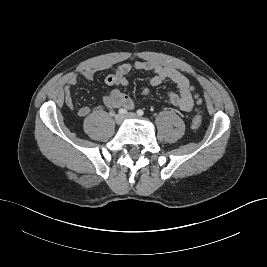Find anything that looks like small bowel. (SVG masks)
<instances>
[{
	"instance_id": "1",
	"label": "small bowel",
	"mask_w": 267,
	"mask_h": 267,
	"mask_svg": "<svg viewBox=\"0 0 267 267\" xmlns=\"http://www.w3.org/2000/svg\"><path fill=\"white\" fill-rule=\"evenodd\" d=\"M111 69L106 76L105 83L112 89L103 97L102 104L96 107V110H112L119 107L127 109L134 108L133 100L121 92L118 87H126L129 83L128 74L133 70L143 71L151 74L150 86L156 87L166 81L174 83L178 89V93H168V103L182 111H191L195 105L201 103L199 95L189 80L178 70L170 67H164L151 61H137L134 63H122L116 66L103 67L102 69ZM98 69L88 68L82 72V76L87 80H92ZM78 77L72 75L66 80L64 88V103L66 107L72 109L75 103L72 97V89L77 84ZM150 93L149 88L142 91L143 96ZM91 109L88 106H81L77 113L80 117H86L90 114Z\"/></svg>"
}]
</instances>
